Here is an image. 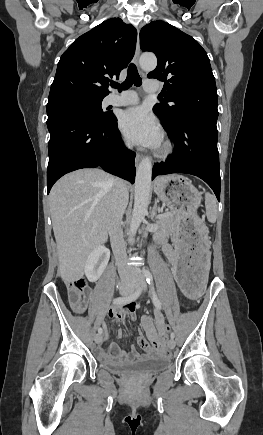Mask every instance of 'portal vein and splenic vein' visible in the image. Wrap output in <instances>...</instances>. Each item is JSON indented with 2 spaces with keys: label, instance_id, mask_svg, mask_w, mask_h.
<instances>
[{
  "label": "portal vein and splenic vein",
  "instance_id": "obj_1",
  "mask_svg": "<svg viewBox=\"0 0 263 435\" xmlns=\"http://www.w3.org/2000/svg\"><path fill=\"white\" fill-rule=\"evenodd\" d=\"M166 215H167V213L166 214H161V215L158 216V218H162V217H164Z\"/></svg>",
  "mask_w": 263,
  "mask_h": 435
}]
</instances>
